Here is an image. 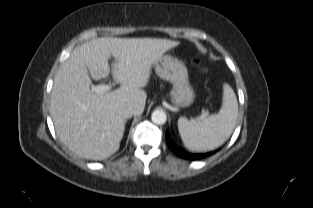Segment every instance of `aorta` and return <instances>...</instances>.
<instances>
[{"instance_id":"1","label":"aorta","mask_w":313,"mask_h":208,"mask_svg":"<svg viewBox=\"0 0 313 208\" xmlns=\"http://www.w3.org/2000/svg\"><path fill=\"white\" fill-rule=\"evenodd\" d=\"M151 119H152L153 123H155L157 125H163L167 120V116H166V113L164 111L155 110L151 115Z\"/></svg>"}]
</instances>
